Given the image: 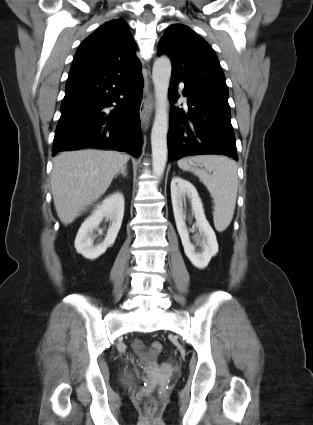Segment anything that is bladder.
Returning <instances> with one entry per match:
<instances>
[{"label":"bladder","mask_w":313,"mask_h":425,"mask_svg":"<svg viewBox=\"0 0 313 425\" xmlns=\"http://www.w3.org/2000/svg\"><path fill=\"white\" fill-rule=\"evenodd\" d=\"M133 380H134V375H131V374L124 375V376L122 377V382H123L124 384H129V383H131Z\"/></svg>","instance_id":"1"}]
</instances>
